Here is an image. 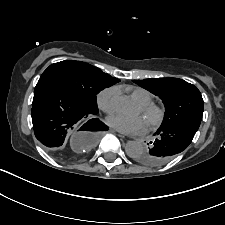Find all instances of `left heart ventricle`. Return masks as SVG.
I'll use <instances>...</instances> for the list:
<instances>
[{
    "label": "left heart ventricle",
    "instance_id": "obj_1",
    "mask_svg": "<svg viewBox=\"0 0 225 225\" xmlns=\"http://www.w3.org/2000/svg\"><path fill=\"white\" fill-rule=\"evenodd\" d=\"M137 113L142 114L140 107L137 110ZM145 117V116H144ZM147 120V119H146Z\"/></svg>",
    "mask_w": 225,
    "mask_h": 225
}]
</instances>
